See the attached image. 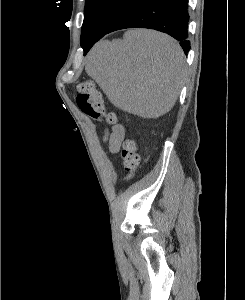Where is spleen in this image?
Masks as SVG:
<instances>
[{
  "label": "spleen",
  "instance_id": "spleen-1",
  "mask_svg": "<svg viewBox=\"0 0 245 300\" xmlns=\"http://www.w3.org/2000/svg\"><path fill=\"white\" fill-rule=\"evenodd\" d=\"M85 69L114 106L147 118L171 110L186 74L179 44L168 35L142 29L98 44Z\"/></svg>",
  "mask_w": 245,
  "mask_h": 300
}]
</instances>
